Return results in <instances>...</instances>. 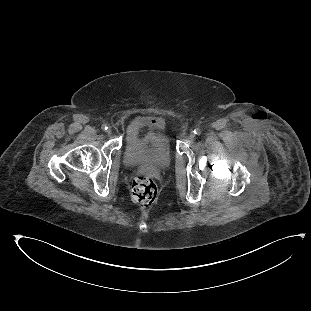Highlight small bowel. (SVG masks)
I'll return each mask as SVG.
<instances>
[{
    "mask_svg": "<svg viewBox=\"0 0 311 311\" xmlns=\"http://www.w3.org/2000/svg\"><path fill=\"white\" fill-rule=\"evenodd\" d=\"M140 121L141 122H145L146 121V118L145 117H142V118H140ZM154 122V121H153Z\"/></svg>",
    "mask_w": 311,
    "mask_h": 311,
    "instance_id": "c3829d8e",
    "label": "small bowel"
}]
</instances>
